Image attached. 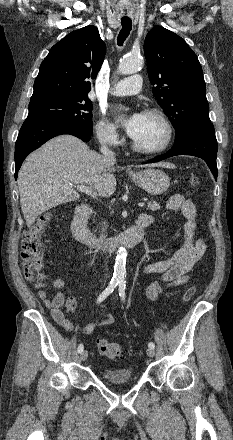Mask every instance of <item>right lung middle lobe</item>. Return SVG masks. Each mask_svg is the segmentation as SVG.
<instances>
[{"label": "right lung middle lobe", "mask_w": 233, "mask_h": 440, "mask_svg": "<svg viewBox=\"0 0 233 440\" xmlns=\"http://www.w3.org/2000/svg\"><path fill=\"white\" fill-rule=\"evenodd\" d=\"M92 102L83 98H52L29 104L28 119L42 118L77 125L92 134Z\"/></svg>", "instance_id": "obj_1"}]
</instances>
